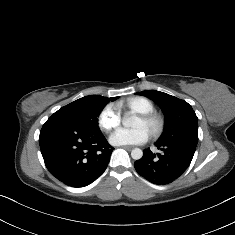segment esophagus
Masks as SVG:
<instances>
[{
  "label": "esophagus",
  "instance_id": "34e87169",
  "mask_svg": "<svg viewBox=\"0 0 235 235\" xmlns=\"http://www.w3.org/2000/svg\"><path fill=\"white\" fill-rule=\"evenodd\" d=\"M121 148L126 149V150H132L134 147L133 146L123 145V146H121Z\"/></svg>",
  "mask_w": 235,
  "mask_h": 235
}]
</instances>
